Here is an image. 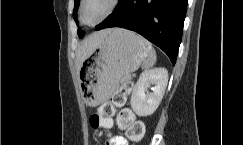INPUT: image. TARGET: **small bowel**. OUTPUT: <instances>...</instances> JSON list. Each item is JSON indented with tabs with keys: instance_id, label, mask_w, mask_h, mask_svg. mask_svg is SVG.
Returning a JSON list of instances; mask_svg holds the SVG:
<instances>
[{
	"instance_id": "obj_1",
	"label": "small bowel",
	"mask_w": 243,
	"mask_h": 145,
	"mask_svg": "<svg viewBox=\"0 0 243 145\" xmlns=\"http://www.w3.org/2000/svg\"><path fill=\"white\" fill-rule=\"evenodd\" d=\"M111 145H129V143L125 137L117 135L112 139Z\"/></svg>"
}]
</instances>
